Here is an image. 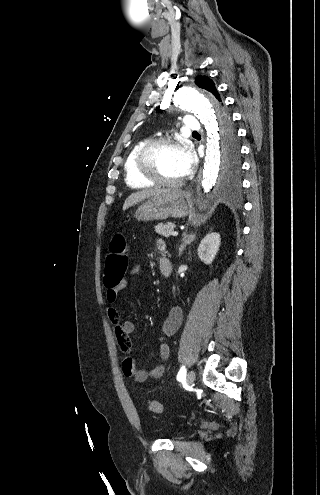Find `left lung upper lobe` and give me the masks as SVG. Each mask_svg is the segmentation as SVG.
I'll return each mask as SVG.
<instances>
[{
	"label": "left lung upper lobe",
	"mask_w": 320,
	"mask_h": 495,
	"mask_svg": "<svg viewBox=\"0 0 320 495\" xmlns=\"http://www.w3.org/2000/svg\"><path fill=\"white\" fill-rule=\"evenodd\" d=\"M195 84L212 93L220 100V95L215 88L214 82L207 76H198L195 79ZM221 140H220V155L224 174L226 176H234L240 169L239 145L236 138V132L232 125L228 122V113L224 112L221 117Z\"/></svg>",
	"instance_id": "5c2ea615"
}]
</instances>
